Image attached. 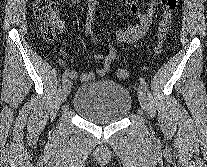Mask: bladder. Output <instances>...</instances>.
<instances>
[{"instance_id": "obj_1", "label": "bladder", "mask_w": 207, "mask_h": 167, "mask_svg": "<svg viewBox=\"0 0 207 167\" xmlns=\"http://www.w3.org/2000/svg\"><path fill=\"white\" fill-rule=\"evenodd\" d=\"M132 97L128 89L116 82L99 80L81 85L73 99L75 111L95 123H113L130 112Z\"/></svg>"}]
</instances>
